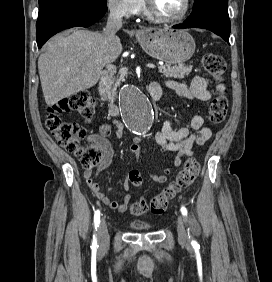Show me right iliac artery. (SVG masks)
Returning <instances> with one entry per match:
<instances>
[{"label": "right iliac artery", "mask_w": 272, "mask_h": 282, "mask_svg": "<svg viewBox=\"0 0 272 282\" xmlns=\"http://www.w3.org/2000/svg\"><path fill=\"white\" fill-rule=\"evenodd\" d=\"M100 223V211L97 210L95 211L94 214V226H95V230L97 231V227L99 226ZM98 247V243H97V236L96 234L93 235V242H92V248L96 249Z\"/></svg>", "instance_id": "82829eb1"}]
</instances>
